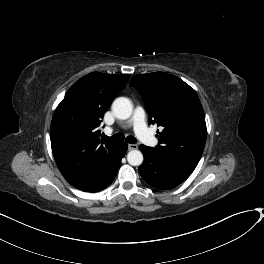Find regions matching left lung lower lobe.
<instances>
[{
    "instance_id": "left-lung-lower-lobe-1",
    "label": "left lung lower lobe",
    "mask_w": 264,
    "mask_h": 264,
    "mask_svg": "<svg viewBox=\"0 0 264 264\" xmlns=\"http://www.w3.org/2000/svg\"><path fill=\"white\" fill-rule=\"evenodd\" d=\"M139 149L144 155L139 173L149 185L157 189L175 188L184 182L196 167L183 161L165 158L151 147L140 145Z\"/></svg>"
}]
</instances>
